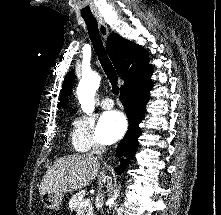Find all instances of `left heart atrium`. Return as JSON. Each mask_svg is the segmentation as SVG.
I'll list each match as a JSON object with an SVG mask.
<instances>
[{
	"label": "left heart atrium",
	"mask_w": 221,
	"mask_h": 215,
	"mask_svg": "<svg viewBox=\"0 0 221 215\" xmlns=\"http://www.w3.org/2000/svg\"><path fill=\"white\" fill-rule=\"evenodd\" d=\"M127 129L126 117L119 111L105 112L99 121V133L105 142H114L123 136Z\"/></svg>",
	"instance_id": "39dd6f15"
}]
</instances>
